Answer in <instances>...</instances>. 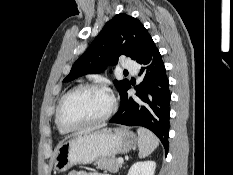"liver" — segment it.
Returning <instances> with one entry per match:
<instances>
[{
    "instance_id": "obj_1",
    "label": "liver",
    "mask_w": 233,
    "mask_h": 175,
    "mask_svg": "<svg viewBox=\"0 0 233 175\" xmlns=\"http://www.w3.org/2000/svg\"><path fill=\"white\" fill-rule=\"evenodd\" d=\"M103 126H105V125H101V126H97V127H93V128H88V129L82 130V131L78 132L77 134H75V136L81 135V134H84V133H88V132H91V131H94V130H97V129H100Z\"/></svg>"
}]
</instances>
